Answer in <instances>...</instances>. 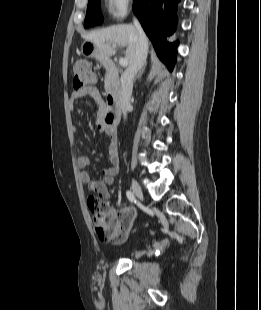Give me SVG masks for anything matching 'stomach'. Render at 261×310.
Listing matches in <instances>:
<instances>
[{
    "instance_id": "1",
    "label": "stomach",
    "mask_w": 261,
    "mask_h": 310,
    "mask_svg": "<svg viewBox=\"0 0 261 310\" xmlns=\"http://www.w3.org/2000/svg\"><path fill=\"white\" fill-rule=\"evenodd\" d=\"M81 53L88 57H95L101 59V54L98 52L97 47L91 41H84L81 46Z\"/></svg>"
}]
</instances>
